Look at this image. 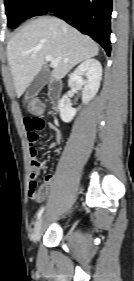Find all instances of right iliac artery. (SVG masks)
<instances>
[{
  "instance_id": "obj_1",
  "label": "right iliac artery",
  "mask_w": 134,
  "mask_h": 281,
  "mask_svg": "<svg viewBox=\"0 0 134 281\" xmlns=\"http://www.w3.org/2000/svg\"><path fill=\"white\" fill-rule=\"evenodd\" d=\"M44 211V207L40 209V211L37 214V220L41 217L42 213Z\"/></svg>"
}]
</instances>
